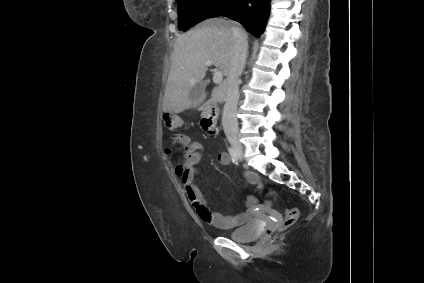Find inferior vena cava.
Here are the masks:
<instances>
[{
    "label": "inferior vena cava",
    "mask_w": 424,
    "mask_h": 283,
    "mask_svg": "<svg viewBox=\"0 0 424 283\" xmlns=\"http://www.w3.org/2000/svg\"><path fill=\"white\" fill-rule=\"evenodd\" d=\"M234 35L233 55L230 59V69L227 76V91L223 109L222 124L226 136L238 134V121L236 117L237 103L239 100L240 76L243 73L247 58V35L239 24L232 22Z\"/></svg>",
    "instance_id": "inferior-vena-cava-1"
}]
</instances>
